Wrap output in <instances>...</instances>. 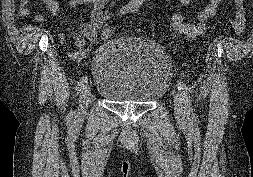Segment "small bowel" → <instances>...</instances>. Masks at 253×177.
<instances>
[{
	"label": "small bowel",
	"instance_id": "c3829d8e",
	"mask_svg": "<svg viewBox=\"0 0 253 177\" xmlns=\"http://www.w3.org/2000/svg\"><path fill=\"white\" fill-rule=\"evenodd\" d=\"M48 7L53 16H57L60 6L57 0H42ZM169 3H179L183 7L190 4V0H166ZM222 0H208V4L198 12L194 22H187L183 12L179 11L172 15L171 22L173 31L177 34L185 35L190 39L197 38L205 33L207 24L217 15ZM108 0H70L69 4L72 9L83 8L89 14V20L79 24V34H73L72 39L76 50L69 54L70 58L78 60L83 58L90 47L89 43H94L101 32L104 21V9ZM31 12L30 0H20L19 16L21 19L27 17ZM38 18L43 21L44 16ZM62 39V37H60Z\"/></svg>",
	"mask_w": 253,
	"mask_h": 177
}]
</instances>
